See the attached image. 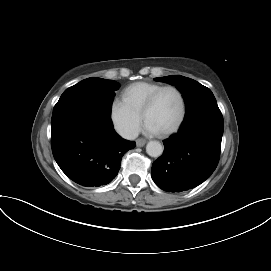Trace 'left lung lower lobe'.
Returning <instances> with one entry per match:
<instances>
[{
    "label": "left lung lower lobe",
    "instance_id": "1",
    "mask_svg": "<svg viewBox=\"0 0 271 271\" xmlns=\"http://www.w3.org/2000/svg\"><path fill=\"white\" fill-rule=\"evenodd\" d=\"M224 122L218 107L185 118L179 132L163 142L164 152L152 165V178L167 192L192 189L217 167Z\"/></svg>",
    "mask_w": 271,
    "mask_h": 271
}]
</instances>
